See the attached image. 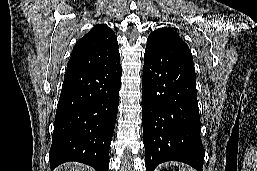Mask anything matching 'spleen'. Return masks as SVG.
I'll return each instance as SVG.
<instances>
[{
	"label": "spleen",
	"mask_w": 257,
	"mask_h": 171,
	"mask_svg": "<svg viewBox=\"0 0 257 171\" xmlns=\"http://www.w3.org/2000/svg\"><path fill=\"white\" fill-rule=\"evenodd\" d=\"M179 168H180V171H195V170H193L192 168H189V167H187V169H185V166H183V165L179 166Z\"/></svg>",
	"instance_id": "1"
}]
</instances>
